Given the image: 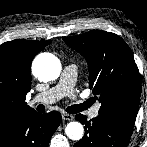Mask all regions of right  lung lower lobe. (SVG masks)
<instances>
[{
  "instance_id": "right-lung-lower-lobe-1",
  "label": "right lung lower lobe",
  "mask_w": 147,
  "mask_h": 147,
  "mask_svg": "<svg viewBox=\"0 0 147 147\" xmlns=\"http://www.w3.org/2000/svg\"><path fill=\"white\" fill-rule=\"evenodd\" d=\"M60 122L57 111L27 113L0 130V147H48Z\"/></svg>"
}]
</instances>
